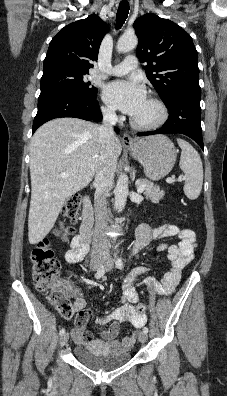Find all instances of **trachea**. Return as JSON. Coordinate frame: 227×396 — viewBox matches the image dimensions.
<instances>
[{"label":"trachea","instance_id":"3493384b","mask_svg":"<svg viewBox=\"0 0 227 396\" xmlns=\"http://www.w3.org/2000/svg\"><path fill=\"white\" fill-rule=\"evenodd\" d=\"M129 13V3L124 0L119 4V8L116 15V29H120L124 24Z\"/></svg>","mask_w":227,"mask_h":396}]
</instances>
